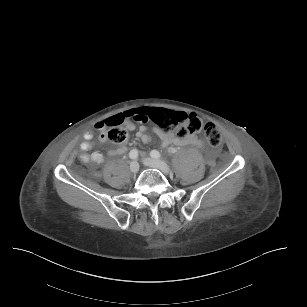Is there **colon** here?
I'll return each mask as SVG.
<instances>
[{
	"label": "colon",
	"mask_w": 307,
	"mask_h": 307,
	"mask_svg": "<svg viewBox=\"0 0 307 307\" xmlns=\"http://www.w3.org/2000/svg\"><path fill=\"white\" fill-rule=\"evenodd\" d=\"M147 117L150 122L162 133L176 132L179 136L192 135L203 129V134L210 146H221V134L214 124H202L201 120L193 114L173 112L166 110H152ZM124 118L108 119L98 124V130L106 140L114 144H121L127 138V130L121 127Z\"/></svg>",
	"instance_id": "obj_1"
}]
</instances>
